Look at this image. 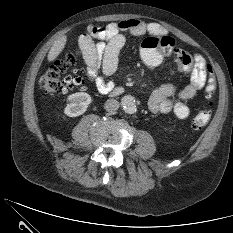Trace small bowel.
<instances>
[{"instance_id": "small-bowel-1", "label": "small bowel", "mask_w": 233, "mask_h": 233, "mask_svg": "<svg viewBox=\"0 0 233 233\" xmlns=\"http://www.w3.org/2000/svg\"><path fill=\"white\" fill-rule=\"evenodd\" d=\"M162 27L155 23H145L139 19H127L112 22L105 27L89 25L87 33L79 38L89 81L103 94L111 92L114 83L106 79L115 73L118 67V57L126 43L127 35L142 36L145 33L158 34ZM94 39L97 42H94ZM194 65L190 80L183 86L176 83H166L155 89L150 95L148 108L153 113H173L179 119L190 116L191 110L184 102L193 98L197 91L207 83V62L198 53L193 56ZM179 100H175V96Z\"/></svg>"}]
</instances>
